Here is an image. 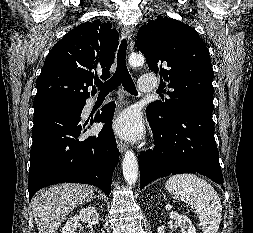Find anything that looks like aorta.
Masks as SVG:
<instances>
[{
  "instance_id": "1",
  "label": "aorta",
  "mask_w": 253,
  "mask_h": 233,
  "mask_svg": "<svg viewBox=\"0 0 253 233\" xmlns=\"http://www.w3.org/2000/svg\"><path fill=\"white\" fill-rule=\"evenodd\" d=\"M129 64L132 67H140L144 64V57L141 54H132L129 57ZM123 176L127 184L135 185L138 179V162L133 151L127 150L122 162Z\"/></svg>"
}]
</instances>
